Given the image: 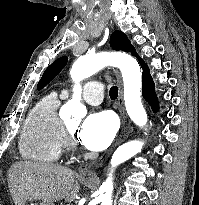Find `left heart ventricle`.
I'll return each mask as SVG.
<instances>
[{
	"label": "left heart ventricle",
	"mask_w": 199,
	"mask_h": 205,
	"mask_svg": "<svg viewBox=\"0 0 199 205\" xmlns=\"http://www.w3.org/2000/svg\"><path fill=\"white\" fill-rule=\"evenodd\" d=\"M78 124H79L78 121H70L66 123V126L72 133H74L78 127Z\"/></svg>",
	"instance_id": "b2bd125f"
}]
</instances>
